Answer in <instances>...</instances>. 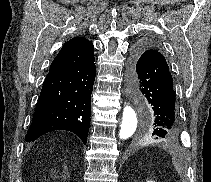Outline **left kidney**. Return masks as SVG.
<instances>
[{"mask_svg": "<svg viewBox=\"0 0 211 182\" xmlns=\"http://www.w3.org/2000/svg\"><path fill=\"white\" fill-rule=\"evenodd\" d=\"M147 182H154V181H151V180H150V181H147Z\"/></svg>", "mask_w": 211, "mask_h": 182, "instance_id": "5707ae66", "label": "left kidney"}]
</instances>
